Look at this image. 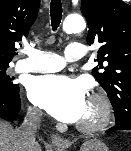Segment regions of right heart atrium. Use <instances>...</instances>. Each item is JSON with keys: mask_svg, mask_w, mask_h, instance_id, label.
<instances>
[{"mask_svg": "<svg viewBox=\"0 0 131 151\" xmlns=\"http://www.w3.org/2000/svg\"><path fill=\"white\" fill-rule=\"evenodd\" d=\"M30 112H31L32 114H35L33 110H30Z\"/></svg>", "mask_w": 131, "mask_h": 151, "instance_id": "d8ad5b80", "label": "right heart atrium"}]
</instances>
